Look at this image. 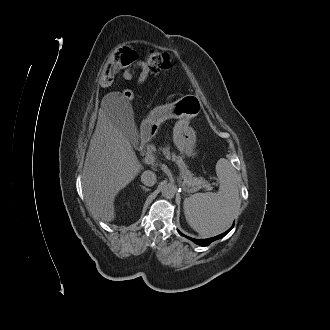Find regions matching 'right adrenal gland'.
<instances>
[{"label":"right adrenal gland","instance_id":"right-adrenal-gland-1","mask_svg":"<svg viewBox=\"0 0 330 330\" xmlns=\"http://www.w3.org/2000/svg\"><path fill=\"white\" fill-rule=\"evenodd\" d=\"M140 187H141L143 190H145L146 192L149 191V189H148L147 187L143 186V185H140Z\"/></svg>","mask_w":330,"mask_h":330}]
</instances>
